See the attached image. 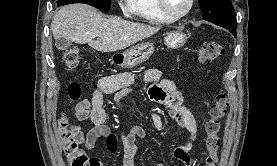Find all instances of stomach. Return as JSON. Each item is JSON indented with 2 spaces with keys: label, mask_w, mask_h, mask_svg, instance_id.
Segmentation results:
<instances>
[{
  "label": "stomach",
  "mask_w": 277,
  "mask_h": 166,
  "mask_svg": "<svg viewBox=\"0 0 277 166\" xmlns=\"http://www.w3.org/2000/svg\"><path fill=\"white\" fill-rule=\"evenodd\" d=\"M186 40L187 36L182 31H170L164 37L165 45L172 49L183 46ZM153 53L154 46L152 43H140L122 53H115L111 57V61L116 65L132 68L149 59Z\"/></svg>",
  "instance_id": "stomach-1"
}]
</instances>
